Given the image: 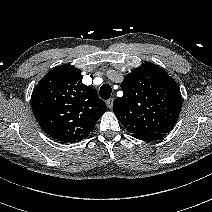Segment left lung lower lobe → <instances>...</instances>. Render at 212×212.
I'll return each mask as SVG.
<instances>
[{"label":"left lung lower lobe","mask_w":212,"mask_h":212,"mask_svg":"<svg viewBox=\"0 0 212 212\" xmlns=\"http://www.w3.org/2000/svg\"><path fill=\"white\" fill-rule=\"evenodd\" d=\"M165 133H155V132H148L140 136H133L139 140L143 141H153V140H158L161 139L165 136Z\"/></svg>","instance_id":"0a47b994"}]
</instances>
